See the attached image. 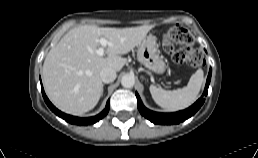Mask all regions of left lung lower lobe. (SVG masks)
<instances>
[{
  "label": "left lung lower lobe",
  "mask_w": 258,
  "mask_h": 158,
  "mask_svg": "<svg viewBox=\"0 0 258 158\" xmlns=\"http://www.w3.org/2000/svg\"><path fill=\"white\" fill-rule=\"evenodd\" d=\"M211 73H212V69L210 68L209 70V74L207 77V82H206V86H205V90L203 95L201 96V98H199L192 106H190L189 108L179 111V112H174V113H159V112H154L151 111L149 109H147L146 107H144L138 93L136 92V97H137V102H138V109L140 111V113L147 118L148 120H150L151 122H153L154 124H163V125H172V124H179L180 122H183L184 120L190 118L191 116H193L202 106V104L205 101V96L208 94V87L210 84V80H211Z\"/></svg>",
  "instance_id": "left-lung-lower-lobe-1"
}]
</instances>
